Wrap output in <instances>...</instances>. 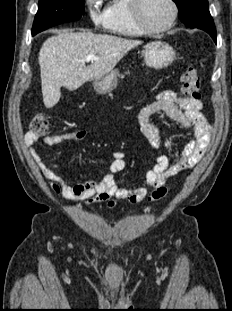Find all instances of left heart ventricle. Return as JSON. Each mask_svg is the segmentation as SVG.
Returning <instances> with one entry per match:
<instances>
[{"label":"left heart ventricle","instance_id":"b2bd125f","mask_svg":"<svg viewBox=\"0 0 232 311\" xmlns=\"http://www.w3.org/2000/svg\"><path fill=\"white\" fill-rule=\"evenodd\" d=\"M141 12L147 25L159 28L169 22L172 8L168 0H143Z\"/></svg>","mask_w":232,"mask_h":311}]
</instances>
